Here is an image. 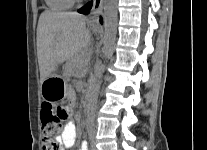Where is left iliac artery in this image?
Wrapping results in <instances>:
<instances>
[{
    "label": "left iliac artery",
    "mask_w": 207,
    "mask_h": 150,
    "mask_svg": "<svg viewBox=\"0 0 207 150\" xmlns=\"http://www.w3.org/2000/svg\"><path fill=\"white\" fill-rule=\"evenodd\" d=\"M89 135H90L91 138L93 137V132H92V130L89 131Z\"/></svg>",
    "instance_id": "left-iliac-artery-1"
}]
</instances>
